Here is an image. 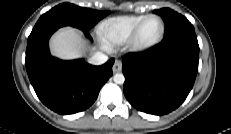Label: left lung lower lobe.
Returning a JSON list of instances; mask_svg holds the SVG:
<instances>
[{
  "label": "left lung lower lobe",
  "mask_w": 231,
  "mask_h": 134,
  "mask_svg": "<svg viewBox=\"0 0 231 134\" xmlns=\"http://www.w3.org/2000/svg\"><path fill=\"white\" fill-rule=\"evenodd\" d=\"M124 94L136 109L164 115L178 108L191 91L199 61L194 30L164 37L143 55L123 58Z\"/></svg>",
  "instance_id": "left-lung-lower-lobe-1"
}]
</instances>
